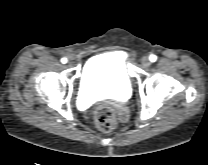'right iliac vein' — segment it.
Wrapping results in <instances>:
<instances>
[{
    "label": "right iliac vein",
    "mask_w": 208,
    "mask_h": 165,
    "mask_svg": "<svg viewBox=\"0 0 208 165\" xmlns=\"http://www.w3.org/2000/svg\"><path fill=\"white\" fill-rule=\"evenodd\" d=\"M68 65H71V62H68Z\"/></svg>",
    "instance_id": "right-iliac-vein-1"
}]
</instances>
